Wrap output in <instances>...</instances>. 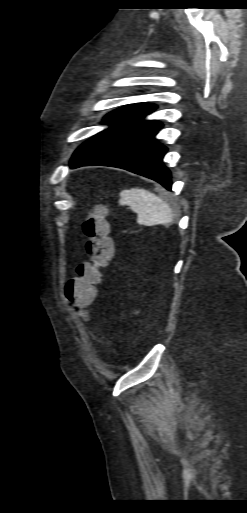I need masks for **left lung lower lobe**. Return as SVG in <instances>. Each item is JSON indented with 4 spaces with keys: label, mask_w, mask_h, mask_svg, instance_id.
Wrapping results in <instances>:
<instances>
[{
    "label": "left lung lower lobe",
    "mask_w": 247,
    "mask_h": 513,
    "mask_svg": "<svg viewBox=\"0 0 247 513\" xmlns=\"http://www.w3.org/2000/svg\"><path fill=\"white\" fill-rule=\"evenodd\" d=\"M156 106L136 104L118 108L105 116L112 127L81 145L70 167L105 165L123 168L159 182L171 190V174L162 158L167 148L155 139L162 124L143 118Z\"/></svg>",
    "instance_id": "obj_1"
}]
</instances>
